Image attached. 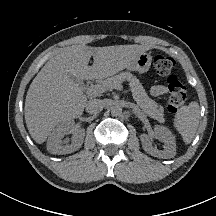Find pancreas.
<instances>
[{
    "mask_svg": "<svg viewBox=\"0 0 216 216\" xmlns=\"http://www.w3.org/2000/svg\"><path fill=\"white\" fill-rule=\"evenodd\" d=\"M123 81H128L132 91V95L138 106L151 118L164 122V109L159 106L154 100L150 99L145 92L140 81L129 72H123L121 74L108 77L99 82L100 86L104 90L115 89L116 86L121 85Z\"/></svg>",
    "mask_w": 216,
    "mask_h": 216,
    "instance_id": "obj_1",
    "label": "pancreas"
}]
</instances>
